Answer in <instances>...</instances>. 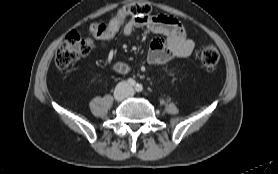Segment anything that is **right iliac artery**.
Wrapping results in <instances>:
<instances>
[{
  "label": "right iliac artery",
  "mask_w": 278,
  "mask_h": 174,
  "mask_svg": "<svg viewBox=\"0 0 278 174\" xmlns=\"http://www.w3.org/2000/svg\"><path fill=\"white\" fill-rule=\"evenodd\" d=\"M127 84H128L129 86L133 87V86H135V85H136V82H135V80H134V79L129 78V79L127 80Z\"/></svg>",
  "instance_id": "obj_1"
}]
</instances>
